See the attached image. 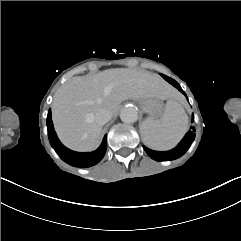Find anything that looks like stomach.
I'll return each mask as SVG.
<instances>
[{
  "label": "stomach",
  "mask_w": 241,
  "mask_h": 241,
  "mask_svg": "<svg viewBox=\"0 0 241 241\" xmlns=\"http://www.w3.org/2000/svg\"><path fill=\"white\" fill-rule=\"evenodd\" d=\"M140 107L151 119L158 117L163 109V103L157 98H144L139 101Z\"/></svg>",
  "instance_id": "1"
}]
</instances>
